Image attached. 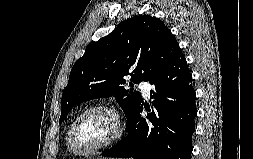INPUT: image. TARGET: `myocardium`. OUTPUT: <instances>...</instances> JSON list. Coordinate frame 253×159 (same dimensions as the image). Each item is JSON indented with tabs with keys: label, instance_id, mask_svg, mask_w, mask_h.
<instances>
[{
	"label": "myocardium",
	"instance_id": "myocardium-1",
	"mask_svg": "<svg viewBox=\"0 0 253 159\" xmlns=\"http://www.w3.org/2000/svg\"><path fill=\"white\" fill-rule=\"evenodd\" d=\"M95 110H104L112 115L116 126L115 133L108 141L99 146H96L94 148L85 151L79 150L78 148H76L73 141L76 126L84 115ZM124 132H125V123L123 117L114 106L105 103L95 104L82 110L72 121L68 130V147L72 152H74L77 155L80 156L92 155L98 151L104 150L116 144L122 138Z\"/></svg>",
	"mask_w": 253,
	"mask_h": 159
}]
</instances>
